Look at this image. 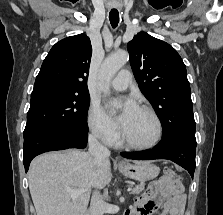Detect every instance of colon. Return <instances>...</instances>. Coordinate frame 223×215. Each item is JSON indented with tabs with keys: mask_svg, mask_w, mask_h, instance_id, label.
<instances>
[{
	"mask_svg": "<svg viewBox=\"0 0 223 215\" xmlns=\"http://www.w3.org/2000/svg\"><path fill=\"white\" fill-rule=\"evenodd\" d=\"M165 174L167 177L171 178V179H175L176 181H180L179 176L175 173V171L171 168H166L165 169Z\"/></svg>",
	"mask_w": 223,
	"mask_h": 215,
	"instance_id": "obj_1",
	"label": "colon"
}]
</instances>
